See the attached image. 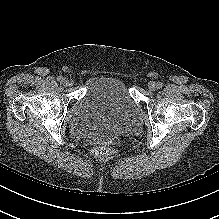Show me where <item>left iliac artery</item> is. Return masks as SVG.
<instances>
[{
    "label": "left iliac artery",
    "mask_w": 219,
    "mask_h": 219,
    "mask_svg": "<svg viewBox=\"0 0 219 219\" xmlns=\"http://www.w3.org/2000/svg\"><path fill=\"white\" fill-rule=\"evenodd\" d=\"M162 86H163V84H162L161 82H157V83H156V87H157L158 89L162 88Z\"/></svg>",
    "instance_id": "obj_1"
}]
</instances>
